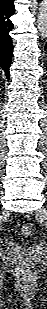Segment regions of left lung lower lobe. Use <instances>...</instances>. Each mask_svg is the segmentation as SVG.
<instances>
[{
  "label": "left lung lower lobe",
  "mask_w": 47,
  "mask_h": 309,
  "mask_svg": "<svg viewBox=\"0 0 47 309\" xmlns=\"http://www.w3.org/2000/svg\"><path fill=\"white\" fill-rule=\"evenodd\" d=\"M45 49H47V44H46V46H45Z\"/></svg>",
  "instance_id": "obj_1"
}]
</instances>
